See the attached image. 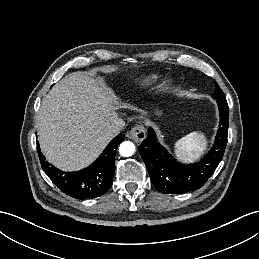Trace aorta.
Listing matches in <instances>:
<instances>
[{"label": "aorta", "mask_w": 259, "mask_h": 259, "mask_svg": "<svg viewBox=\"0 0 259 259\" xmlns=\"http://www.w3.org/2000/svg\"><path fill=\"white\" fill-rule=\"evenodd\" d=\"M135 152V145L130 141L122 142L119 146V153L121 156L129 157Z\"/></svg>", "instance_id": "obj_1"}]
</instances>
